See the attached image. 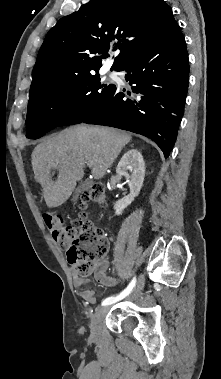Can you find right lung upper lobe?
I'll return each instance as SVG.
<instances>
[{
	"label": "right lung upper lobe",
	"instance_id": "right-lung-upper-lobe-1",
	"mask_svg": "<svg viewBox=\"0 0 221 379\" xmlns=\"http://www.w3.org/2000/svg\"><path fill=\"white\" fill-rule=\"evenodd\" d=\"M177 26L164 0H90L47 33L32 72L29 101L55 82L98 72L113 41L118 40L116 69Z\"/></svg>",
	"mask_w": 221,
	"mask_h": 379
}]
</instances>
